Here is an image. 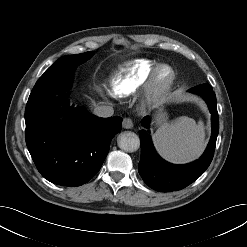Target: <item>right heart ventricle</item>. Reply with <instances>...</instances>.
<instances>
[{"label": "right heart ventricle", "instance_id": "right-heart-ventricle-1", "mask_svg": "<svg viewBox=\"0 0 247 247\" xmlns=\"http://www.w3.org/2000/svg\"><path fill=\"white\" fill-rule=\"evenodd\" d=\"M158 65L149 59H135L127 63L113 80L115 94L125 97L136 92Z\"/></svg>", "mask_w": 247, "mask_h": 247}]
</instances>
